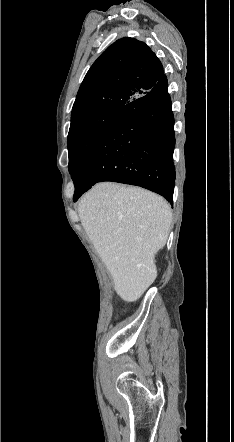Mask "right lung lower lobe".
<instances>
[{
  "label": "right lung lower lobe",
  "instance_id": "98d812e1",
  "mask_svg": "<svg viewBox=\"0 0 234 442\" xmlns=\"http://www.w3.org/2000/svg\"><path fill=\"white\" fill-rule=\"evenodd\" d=\"M174 117L167 77L121 107L108 128L72 172L74 201L94 184L141 186L173 203Z\"/></svg>",
  "mask_w": 234,
  "mask_h": 442
}]
</instances>
